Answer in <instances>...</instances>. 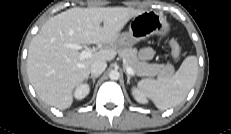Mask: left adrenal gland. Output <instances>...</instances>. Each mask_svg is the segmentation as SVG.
Here are the masks:
<instances>
[{"instance_id": "left-adrenal-gland-1", "label": "left adrenal gland", "mask_w": 231, "mask_h": 134, "mask_svg": "<svg viewBox=\"0 0 231 134\" xmlns=\"http://www.w3.org/2000/svg\"><path fill=\"white\" fill-rule=\"evenodd\" d=\"M126 76H127V84H130V79L132 76L127 72H126Z\"/></svg>"}]
</instances>
